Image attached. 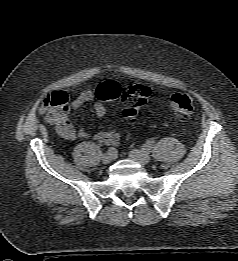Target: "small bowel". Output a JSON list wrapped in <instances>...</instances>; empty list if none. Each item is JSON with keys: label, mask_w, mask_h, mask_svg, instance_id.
Wrapping results in <instances>:
<instances>
[{"label": "small bowel", "mask_w": 238, "mask_h": 261, "mask_svg": "<svg viewBox=\"0 0 238 261\" xmlns=\"http://www.w3.org/2000/svg\"><path fill=\"white\" fill-rule=\"evenodd\" d=\"M94 94L91 90H85L79 93L72 101L71 108L77 109L83 104L93 101ZM94 111L99 118H104L106 115L105 106L101 102L94 103ZM58 133L67 140L86 139L89 138L92 133L90 129L85 126L75 128L65 115L57 123L54 124ZM95 140L105 145L116 146L120 142V134L114 129L102 131L94 136Z\"/></svg>", "instance_id": "small-bowel-1"}]
</instances>
